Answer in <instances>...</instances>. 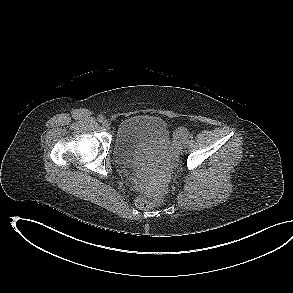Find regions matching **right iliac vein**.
<instances>
[{
  "mask_svg": "<svg viewBox=\"0 0 293 293\" xmlns=\"http://www.w3.org/2000/svg\"><path fill=\"white\" fill-rule=\"evenodd\" d=\"M102 125L104 126V128L109 129L110 128V123L107 120H104Z\"/></svg>",
  "mask_w": 293,
  "mask_h": 293,
  "instance_id": "1",
  "label": "right iliac vein"
}]
</instances>
